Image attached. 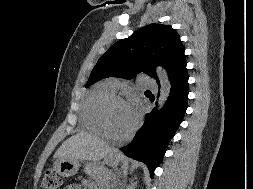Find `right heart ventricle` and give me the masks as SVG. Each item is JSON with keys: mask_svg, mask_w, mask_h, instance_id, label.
Wrapping results in <instances>:
<instances>
[{"mask_svg": "<svg viewBox=\"0 0 253 189\" xmlns=\"http://www.w3.org/2000/svg\"><path fill=\"white\" fill-rule=\"evenodd\" d=\"M114 94L115 91L110 88L107 82L93 88L82 104L81 122L83 127L92 133L104 135L99 120V109L104 100Z\"/></svg>", "mask_w": 253, "mask_h": 189, "instance_id": "obj_1", "label": "right heart ventricle"}]
</instances>
